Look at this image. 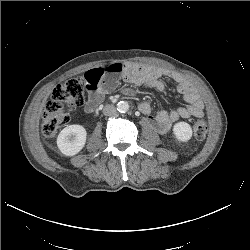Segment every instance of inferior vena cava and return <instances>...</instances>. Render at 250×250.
Segmentation results:
<instances>
[{
    "label": "inferior vena cava",
    "instance_id": "obj_1",
    "mask_svg": "<svg viewBox=\"0 0 250 250\" xmlns=\"http://www.w3.org/2000/svg\"><path fill=\"white\" fill-rule=\"evenodd\" d=\"M116 108L114 105H106L104 108H103V113L104 115L106 116H113L116 114Z\"/></svg>",
    "mask_w": 250,
    "mask_h": 250
}]
</instances>
